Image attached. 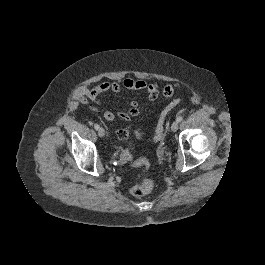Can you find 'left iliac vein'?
Masks as SVG:
<instances>
[{
    "label": "left iliac vein",
    "instance_id": "left-iliac-vein-1",
    "mask_svg": "<svg viewBox=\"0 0 265 265\" xmlns=\"http://www.w3.org/2000/svg\"><path fill=\"white\" fill-rule=\"evenodd\" d=\"M177 129H178V122L175 121V122H173L172 125H171V130H172L173 132H175V131H177Z\"/></svg>",
    "mask_w": 265,
    "mask_h": 265
}]
</instances>
